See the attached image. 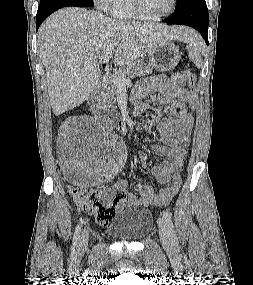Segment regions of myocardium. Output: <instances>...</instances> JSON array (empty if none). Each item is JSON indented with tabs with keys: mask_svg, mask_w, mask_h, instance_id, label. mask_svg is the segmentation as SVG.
Here are the masks:
<instances>
[{
	"mask_svg": "<svg viewBox=\"0 0 253 285\" xmlns=\"http://www.w3.org/2000/svg\"><path fill=\"white\" fill-rule=\"evenodd\" d=\"M131 1L133 9L136 12L138 18L144 20H154V21L170 16L176 10L178 4V0H172V6L167 12L160 15H148L142 9L141 0H131Z\"/></svg>",
	"mask_w": 253,
	"mask_h": 285,
	"instance_id": "f54148a6",
	"label": "myocardium"
}]
</instances>
